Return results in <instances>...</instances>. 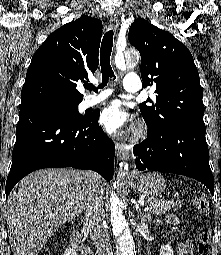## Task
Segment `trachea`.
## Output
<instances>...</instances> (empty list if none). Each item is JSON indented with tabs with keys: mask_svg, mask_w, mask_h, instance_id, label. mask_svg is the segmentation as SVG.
Masks as SVG:
<instances>
[{
	"mask_svg": "<svg viewBox=\"0 0 221 255\" xmlns=\"http://www.w3.org/2000/svg\"><path fill=\"white\" fill-rule=\"evenodd\" d=\"M113 47V30H109L105 33L101 48H100V64H101V72H102V83L98 86V88H103L107 85L109 78H116L112 67L110 65V56ZM85 87L89 90H93L97 92V88L92 84H87Z\"/></svg>",
	"mask_w": 221,
	"mask_h": 255,
	"instance_id": "obj_1",
	"label": "trachea"
}]
</instances>
